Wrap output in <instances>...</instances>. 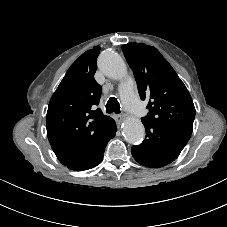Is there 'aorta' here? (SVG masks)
Returning <instances> with one entry per match:
<instances>
[{"mask_svg": "<svg viewBox=\"0 0 227 227\" xmlns=\"http://www.w3.org/2000/svg\"><path fill=\"white\" fill-rule=\"evenodd\" d=\"M99 69L108 77L119 80L127 75V67L123 59L113 51H103L98 58ZM127 142L135 144L145 136V128L141 120L127 118L122 129Z\"/></svg>", "mask_w": 227, "mask_h": 227, "instance_id": "obj_1", "label": "aorta"}]
</instances>
